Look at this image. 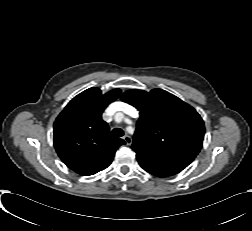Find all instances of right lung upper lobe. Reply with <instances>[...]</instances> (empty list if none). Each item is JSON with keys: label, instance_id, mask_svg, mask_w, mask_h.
I'll list each match as a JSON object with an SVG mask.
<instances>
[{"label": "right lung upper lobe", "instance_id": "right-lung-upper-lobe-1", "mask_svg": "<svg viewBox=\"0 0 252 231\" xmlns=\"http://www.w3.org/2000/svg\"><path fill=\"white\" fill-rule=\"evenodd\" d=\"M121 93L114 89L102 94L89 88L74 97L54 123V147L67 167L83 176L96 174L107 168L122 139L110 136L102 112Z\"/></svg>", "mask_w": 252, "mask_h": 231}]
</instances>
